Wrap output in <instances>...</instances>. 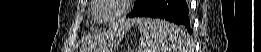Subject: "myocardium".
<instances>
[{
  "label": "myocardium",
  "mask_w": 261,
  "mask_h": 52,
  "mask_svg": "<svg viewBox=\"0 0 261 52\" xmlns=\"http://www.w3.org/2000/svg\"><path fill=\"white\" fill-rule=\"evenodd\" d=\"M95 2H96V7L92 11V16L96 21L103 24L115 22L118 19L125 16L129 11L130 4L132 3L131 0H96ZM108 3H114L118 6V10L116 14L109 19H99L97 17L98 9Z\"/></svg>",
  "instance_id": "1"
}]
</instances>
